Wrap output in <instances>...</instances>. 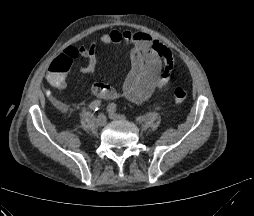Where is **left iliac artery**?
Masks as SVG:
<instances>
[{"label": "left iliac artery", "instance_id": "left-iliac-artery-1", "mask_svg": "<svg viewBox=\"0 0 254 216\" xmlns=\"http://www.w3.org/2000/svg\"><path fill=\"white\" fill-rule=\"evenodd\" d=\"M107 110L109 112H115L117 110V105L115 103H111L107 106Z\"/></svg>", "mask_w": 254, "mask_h": 216}]
</instances>
